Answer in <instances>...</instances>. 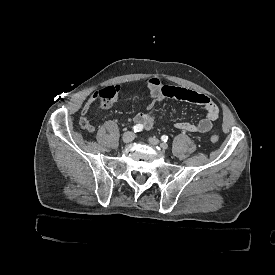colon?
Listing matches in <instances>:
<instances>
[{
  "mask_svg": "<svg viewBox=\"0 0 275 275\" xmlns=\"http://www.w3.org/2000/svg\"><path fill=\"white\" fill-rule=\"evenodd\" d=\"M102 107V106H101ZM80 125L81 127L84 129V130H87V131H92L93 130V126L88 122L87 119L85 118H81L80 120ZM219 140V137L217 134H212L211 137H210V141L212 143H216L217 141Z\"/></svg>",
  "mask_w": 275,
  "mask_h": 275,
  "instance_id": "1",
  "label": "colon"
}]
</instances>
